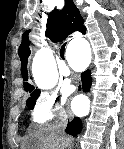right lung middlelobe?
I'll return each instance as SVG.
<instances>
[{"label":"right lung middle lobe","mask_w":124,"mask_h":149,"mask_svg":"<svg viewBox=\"0 0 124 149\" xmlns=\"http://www.w3.org/2000/svg\"><path fill=\"white\" fill-rule=\"evenodd\" d=\"M24 89L26 91L31 92L30 97L27 99L26 101V105L29 109H32L33 106L36 103V99L39 97L40 91L39 90H34V88H30V87H24ZM34 90V91H33Z\"/></svg>","instance_id":"obj_1"}]
</instances>
